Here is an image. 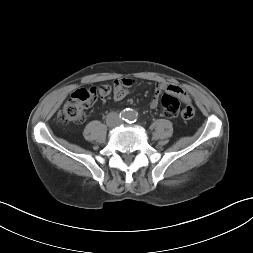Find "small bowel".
<instances>
[{"label":"small bowel","instance_id":"obj_1","mask_svg":"<svg viewBox=\"0 0 253 253\" xmlns=\"http://www.w3.org/2000/svg\"><path fill=\"white\" fill-rule=\"evenodd\" d=\"M133 84L134 80L131 78H120L114 81L113 88L109 85H102L98 88V91L101 97H106L112 92L113 99L119 102L127 96L128 88ZM163 92L175 94L184 103L179 111L183 119L192 120L196 116V109L191 105V98L188 93L184 89L168 82H159L156 85L150 101L151 108L154 109L158 106L160 95Z\"/></svg>","mask_w":253,"mask_h":253}]
</instances>
